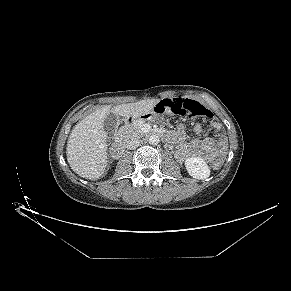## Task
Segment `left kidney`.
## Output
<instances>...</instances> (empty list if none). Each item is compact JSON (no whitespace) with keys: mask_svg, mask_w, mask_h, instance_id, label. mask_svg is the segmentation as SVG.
Masks as SVG:
<instances>
[{"mask_svg":"<svg viewBox=\"0 0 291 291\" xmlns=\"http://www.w3.org/2000/svg\"><path fill=\"white\" fill-rule=\"evenodd\" d=\"M185 167L190 176L195 179H206L210 176V168L201 157H188Z\"/></svg>","mask_w":291,"mask_h":291,"instance_id":"5707ae66","label":"left kidney"}]
</instances>
